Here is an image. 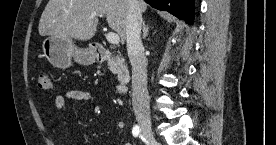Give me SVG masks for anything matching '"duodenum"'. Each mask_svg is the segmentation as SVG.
Returning <instances> with one entry per match:
<instances>
[{
  "label": "duodenum",
  "instance_id": "1",
  "mask_svg": "<svg viewBox=\"0 0 276 145\" xmlns=\"http://www.w3.org/2000/svg\"><path fill=\"white\" fill-rule=\"evenodd\" d=\"M94 53L95 57L99 61H105L110 58L114 59L117 63V78H118V89L119 91H123L125 88V85L129 82L130 80V71L129 69L125 66L123 58L111 51H109L107 48L96 45L94 47Z\"/></svg>",
  "mask_w": 276,
  "mask_h": 145
}]
</instances>
